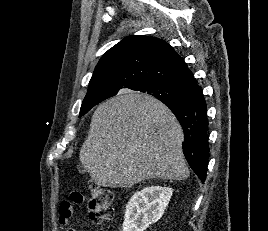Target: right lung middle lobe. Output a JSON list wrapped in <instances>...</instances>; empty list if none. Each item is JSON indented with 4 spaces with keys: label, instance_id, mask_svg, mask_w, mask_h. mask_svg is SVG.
<instances>
[{
    "label": "right lung middle lobe",
    "instance_id": "1",
    "mask_svg": "<svg viewBox=\"0 0 268 231\" xmlns=\"http://www.w3.org/2000/svg\"><path fill=\"white\" fill-rule=\"evenodd\" d=\"M131 89L152 95L162 102H184L187 101L193 94L187 90L171 86L167 83L152 80L139 82ZM113 92L116 94L118 90H114ZM95 105L96 104L93 103H82L79 117L85 115Z\"/></svg>",
    "mask_w": 268,
    "mask_h": 231
}]
</instances>
